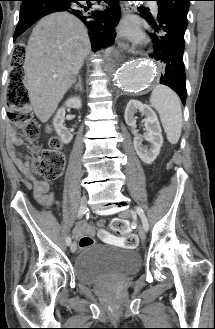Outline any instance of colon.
Listing matches in <instances>:
<instances>
[{
	"label": "colon",
	"instance_id": "5ec220e1",
	"mask_svg": "<svg viewBox=\"0 0 215 329\" xmlns=\"http://www.w3.org/2000/svg\"><path fill=\"white\" fill-rule=\"evenodd\" d=\"M15 52L16 55H12L10 62L12 77L7 91L9 118L16 127L21 128L24 140L35 142L39 135V126L32 119L29 110V94L24 84L22 68L25 67L26 58L22 47H17ZM59 146V140L53 138L49 148L35 150L31 162V172L48 181L60 177L65 161ZM111 227L116 234L123 236L122 244L124 247L135 248L137 246L138 239L136 235L128 233L129 227L125 220L115 218L111 222ZM93 241L91 236L84 235L80 239V245L81 247L89 246Z\"/></svg>",
	"mask_w": 215,
	"mask_h": 329
}]
</instances>
